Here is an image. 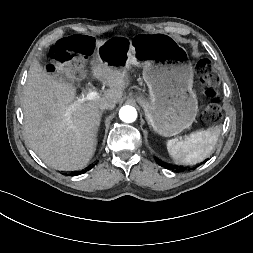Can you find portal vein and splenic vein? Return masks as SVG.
<instances>
[{
  "mask_svg": "<svg viewBox=\"0 0 253 253\" xmlns=\"http://www.w3.org/2000/svg\"><path fill=\"white\" fill-rule=\"evenodd\" d=\"M98 93L96 91H89L87 94L83 95L79 100L80 101H90V100H95L97 99Z\"/></svg>",
  "mask_w": 253,
  "mask_h": 253,
  "instance_id": "18ae733b",
  "label": "portal vein and splenic vein"
}]
</instances>
